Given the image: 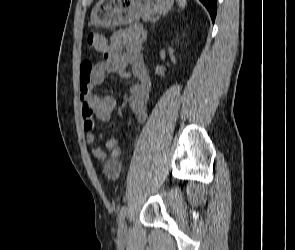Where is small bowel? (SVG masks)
I'll use <instances>...</instances> for the list:
<instances>
[{
  "label": "small bowel",
  "instance_id": "obj_1",
  "mask_svg": "<svg viewBox=\"0 0 295 250\" xmlns=\"http://www.w3.org/2000/svg\"><path fill=\"white\" fill-rule=\"evenodd\" d=\"M146 39V32L140 25H133L116 31L99 50L102 60L92 63L83 61L80 66V100L82 107V123L87 134V142L94 143V117L102 122H108L117 107L114 97H100L94 93V88L101 84L106 75L118 72L123 76L134 78L130 88L129 104L137 121L142 123L146 118V105L151 91V78L148 74L142 47ZM106 147L111 155L118 156L121 149L115 139H109ZM96 158L105 156L100 147L93 150Z\"/></svg>",
  "mask_w": 295,
  "mask_h": 250
}]
</instances>
